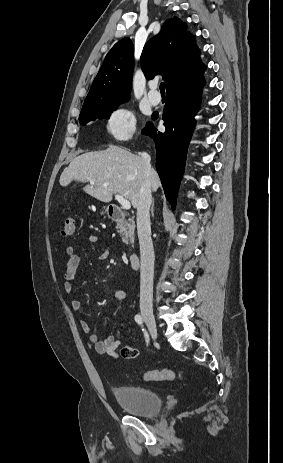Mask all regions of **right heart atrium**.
I'll list each match as a JSON object with an SVG mask.
<instances>
[{
    "label": "right heart atrium",
    "instance_id": "d8ad5b80",
    "mask_svg": "<svg viewBox=\"0 0 283 463\" xmlns=\"http://www.w3.org/2000/svg\"><path fill=\"white\" fill-rule=\"evenodd\" d=\"M105 129L114 140L131 139L137 131L134 113L127 108L114 109L106 119Z\"/></svg>",
    "mask_w": 283,
    "mask_h": 463
}]
</instances>
